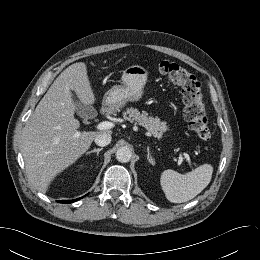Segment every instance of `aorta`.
<instances>
[{
	"label": "aorta",
	"mask_w": 260,
	"mask_h": 260,
	"mask_svg": "<svg viewBox=\"0 0 260 260\" xmlns=\"http://www.w3.org/2000/svg\"><path fill=\"white\" fill-rule=\"evenodd\" d=\"M116 159L121 163L129 162L132 157V151L128 146L119 147L116 151Z\"/></svg>",
	"instance_id": "obj_1"
}]
</instances>
